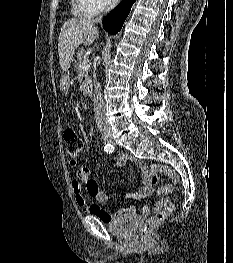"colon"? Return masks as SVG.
<instances>
[{
  "label": "colon",
  "mask_w": 233,
  "mask_h": 263,
  "mask_svg": "<svg viewBox=\"0 0 233 263\" xmlns=\"http://www.w3.org/2000/svg\"><path fill=\"white\" fill-rule=\"evenodd\" d=\"M65 150L68 156L72 159L71 163L76 164V158L82 150V141L72 128H68L64 132ZM152 183L156 185L158 182L157 172H162L169 176L173 181L177 182L178 177L174 171L163 165H154L151 168ZM174 210V204L169 203L164 208L159 210L153 217L146 221L143 226V236L148 235L155 225L163 222Z\"/></svg>",
  "instance_id": "1"
}]
</instances>
